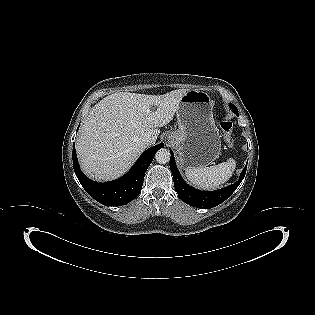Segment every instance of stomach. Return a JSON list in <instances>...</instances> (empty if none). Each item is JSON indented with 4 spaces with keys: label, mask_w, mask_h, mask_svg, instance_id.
<instances>
[{
    "label": "stomach",
    "mask_w": 315,
    "mask_h": 315,
    "mask_svg": "<svg viewBox=\"0 0 315 315\" xmlns=\"http://www.w3.org/2000/svg\"><path fill=\"white\" fill-rule=\"evenodd\" d=\"M213 106L204 91L189 90L180 100L178 130L168 138L183 169L206 167L219 157L221 136L213 119Z\"/></svg>",
    "instance_id": "0dacf381"
}]
</instances>
